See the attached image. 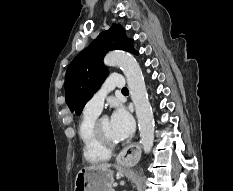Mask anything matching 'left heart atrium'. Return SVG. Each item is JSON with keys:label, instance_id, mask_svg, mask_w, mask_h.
<instances>
[{"label": "left heart atrium", "instance_id": "left-heart-atrium-1", "mask_svg": "<svg viewBox=\"0 0 233 191\" xmlns=\"http://www.w3.org/2000/svg\"><path fill=\"white\" fill-rule=\"evenodd\" d=\"M111 128L113 136L116 140H124L134 131V119L131 114L123 107L114 110L111 119Z\"/></svg>", "mask_w": 233, "mask_h": 191}]
</instances>
